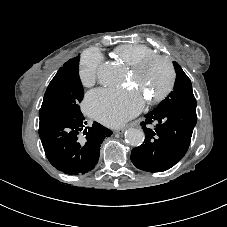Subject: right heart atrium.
Segmentation results:
<instances>
[{"label": "right heart atrium", "instance_id": "right-heart-atrium-1", "mask_svg": "<svg viewBox=\"0 0 227 227\" xmlns=\"http://www.w3.org/2000/svg\"><path fill=\"white\" fill-rule=\"evenodd\" d=\"M102 62L103 56L99 51L90 49L84 53L79 68V78L84 86L90 87L96 82Z\"/></svg>", "mask_w": 227, "mask_h": 227}]
</instances>
